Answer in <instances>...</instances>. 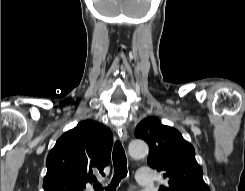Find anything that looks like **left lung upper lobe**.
Masks as SVG:
<instances>
[{"label": "left lung upper lobe", "instance_id": "5c2ea615", "mask_svg": "<svg viewBox=\"0 0 245 191\" xmlns=\"http://www.w3.org/2000/svg\"><path fill=\"white\" fill-rule=\"evenodd\" d=\"M135 136L149 144L148 165L168 179L159 191H210L195 159L194 147L177 129L148 117L137 125Z\"/></svg>", "mask_w": 245, "mask_h": 191}]
</instances>
